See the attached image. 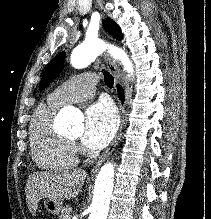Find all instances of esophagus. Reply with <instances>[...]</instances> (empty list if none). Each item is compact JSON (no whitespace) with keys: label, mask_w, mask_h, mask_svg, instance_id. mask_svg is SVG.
Segmentation results:
<instances>
[{"label":"esophagus","mask_w":211,"mask_h":219,"mask_svg":"<svg viewBox=\"0 0 211 219\" xmlns=\"http://www.w3.org/2000/svg\"><path fill=\"white\" fill-rule=\"evenodd\" d=\"M105 62L106 65L109 69V71L112 73V75L115 78V82L118 83L120 81L119 74L117 71L116 63L115 61L108 55L105 56ZM118 107L120 111V116H121V124L118 130V133L112 142V144L109 146V148L102 154L98 162L95 164L93 169L91 170V174L96 173L99 167L102 165V163L112 154V152L115 150L117 144L119 143L121 136H122V129H123V124H124V115H125V106L124 104L118 100Z\"/></svg>","instance_id":"esophagus-1"}]
</instances>
